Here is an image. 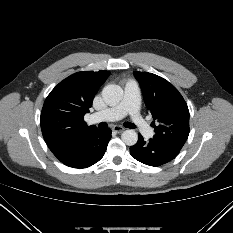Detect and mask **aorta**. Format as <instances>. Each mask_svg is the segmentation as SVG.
<instances>
[{"instance_id": "aorta-1", "label": "aorta", "mask_w": 233, "mask_h": 233, "mask_svg": "<svg viewBox=\"0 0 233 233\" xmlns=\"http://www.w3.org/2000/svg\"><path fill=\"white\" fill-rule=\"evenodd\" d=\"M122 88L115 84L107 85L102 90V98L104 102L110 106L117 105L122 98ZM122 141L128 145H135L138 141V134L132 130H125L121 135Z\"/></svg>"}]
</instances>
